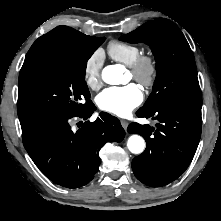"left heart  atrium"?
Returning a JSON list of instances; mask_svg holds the SVG:
<instances>
[{"label":"left heart atrium","instance_id":"obj_1","mask_svg":"<svg viewBox=\"0 0 221 221\" xmlns=\"http://www.w3.org/2000/svg\"><path fill=\"white\" fill-rule=\"evenodd\" d=\"M143 93L138 85L113 86L104 89L96 98L98 107L116 116H127L141 104Z\"/></svg>","mask_w":221,"mask_h":221}]
</instances>
